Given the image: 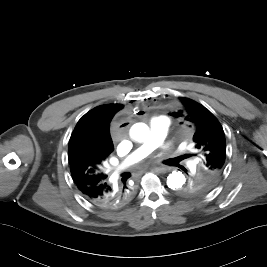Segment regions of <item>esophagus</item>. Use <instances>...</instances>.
Listing matches in <instances>:
<instances>
[{
    "instance_id": "1",
    "label": "esophagus",
    "mask_w": 267,
    "mask_h": 267,
    "mask_svg": "<svg viewBox=\"0 0 267 267\" xmlns=\"http://www.w3.org/2000/svg\"><path fill=\"white\" fill-rule=\"evenodd\" d=\"M152 171L156 173H165L168 171V168L164 166H155V167H152Z\"/></svg>"
}]
</instances>
